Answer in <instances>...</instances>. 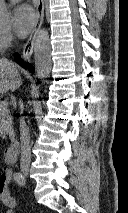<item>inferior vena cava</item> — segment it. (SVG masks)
<instances>
[{
  "label": "inferior vena cava",
  "mask_w": 128,
  "mask_h": 213,
  "mask_svg": "<svg viewBox=\"0 0 128 213\" xmlns=\"http://www.w3.org/2000/svg\"><path fill=\"white\" fill-rule=\"evenodd\" d=\"M21 113L23 112V102L19 100ZM20 141H21V159L20 166L28 167L31 162V146L29 129L26 125L24 117H20Z\"/></svg>",
  "instance_id": "obj_1"
}]
</instances>
